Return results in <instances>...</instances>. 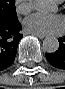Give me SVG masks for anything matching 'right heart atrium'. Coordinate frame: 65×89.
<instances>
[{"label": "right heart atrium", "instance_id": "obj_1", "mask_svg": "<svg viewBox=\"0 0 65 89\" xmlns=\"http://www.w3.org/2000/svg\"><path fill=\"white\" fill-rule=\"evenodd\" d=\"M16 10L20 14H27L31 10V1L18 0L16 2Z\"/></svg>", "mask_w": 65, "mask_h": 89}]
</instances>
